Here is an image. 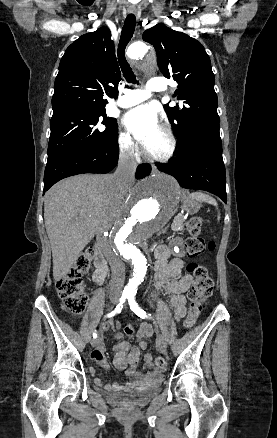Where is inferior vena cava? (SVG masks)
I'll use <instances>...</instances> for the list:
<instances>
[{"mask_svg": "<svg viewBox=\"0 0 277 438\" xmlns=\"http://www.w3.org/2000/svg\"><path fill=\"white\" fill-rule=\"evenodd\" d=\"M137 170V162L134 154L131 152H120L118 160V168L113 174V180L118 190H126L133 184L135 172ZM112 278L110 290H122L125 280V268L122 260L115 256L109 260Z\"/></svg>", "mask_w": 277, "mask_h": 438, "instance_id": "inferior-vena-cava-1", "label": "inferior vena cava"}]
</instances>
